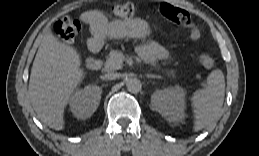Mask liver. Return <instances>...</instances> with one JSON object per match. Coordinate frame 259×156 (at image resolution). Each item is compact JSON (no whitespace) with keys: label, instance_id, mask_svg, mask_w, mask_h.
<instances>
[{"label":"liver","instance_id":"1","mask_svg":"<svg viewBox=\"0 0 259 156\" xmlns=\"http://www.w3.org/2000/svg\"><path fill=\"white\" fill-rule=\"evenodd\" d=\"M85 72L77 51L46 28L29 79V98L38 118L55 130L64 129V109Z\"/></svg>","mask_w":259,"mask_h":156}]
</instances>
